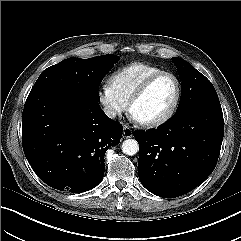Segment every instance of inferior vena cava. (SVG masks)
<instances>
[{
    "mask_svg": "<svg viewBox=\"0 0 241 241\" xmlns=\"http://www.w3.org/2000/svg\"><path fill=\"white\" fill-rule=\"evenodd\" d=\"M104 112L109 118H115L117 114V111L112 107H105Z\"/></svg>",
    "mask_w": 241,
    "mask_h": 241,
    "instance_id": "1",
    "label": "inferior vena cava"
}]
</instances>
